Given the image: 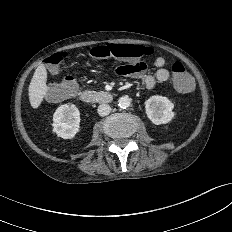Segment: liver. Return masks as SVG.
Segmentation results:
<instances>
[{
  "label": "liver",
  "mask_w": 232,
  "mask_h": 232,
  "mask_svg": "<svg viewBox=\"0 0 232 232\" xmlns=\"http://www.w3.org/2000/svg\"><path fill=\"white\" fill-rule=\"evenodd\" d=\"M47 71L44 64H40L31 79L28 95L32 108L36 109L40 106L45 97L48 87L46 85Z\"/></svg>",
  "instance_id": "liver-1"
}]
</instances>
